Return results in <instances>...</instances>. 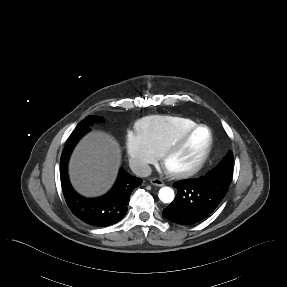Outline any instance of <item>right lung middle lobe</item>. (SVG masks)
Here are the masks:
<instances>
[{"label":"right lung middle lobe","mask_w":287,"mask_h":287,"mask_svg":"<svg viewBox=\"0 0 287 287\" xmlns=\"http://www.w3.org/2000/svg\"><path fill=\"white\" fill-rule=\"evenodd\" d=\"M94 121H102V118L100 117H95V116H87L83 121H81L76 128L79 127H84V126H89L91 125ZM75 128V129H76Z\"/></svg>","instance_id":"1"}]
</instances>
